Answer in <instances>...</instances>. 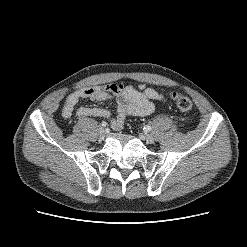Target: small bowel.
<instances>
[{"label": "small bowel", "instance_id": "1", "mask_svg": "<svg viewBox=\"0 0 247 247\" xmlns=\"http://www.w3.org/2000/svg\"><path fill=\"white\" fill-rule=\"evenodd\" d=\"M81 99L106 102L115 100L117 114L112 117L110 112L102 108L80 107L76 110L79 117L95 116L110 120L114 130H120L128 116L144 117L155 110L154 101L164 99L162 93L146 85L109 84L104 86L85 87L69 94L62 108V117L69 119Z\"/></svg>", "mask_w": 247, "mask_h": 247}]
</instances>
